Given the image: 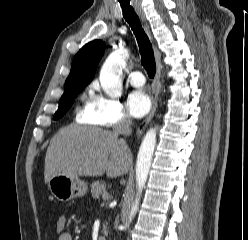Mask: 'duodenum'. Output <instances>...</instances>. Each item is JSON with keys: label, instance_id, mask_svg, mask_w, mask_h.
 <instances>
[{"label": "duodenum", "instance_id": "410a0bca", "mask_svg": "<svg viewBox=\"0 0 248 240\" xmlns=\"http://www.w3.org/2000/svg\"><path fill=\"white\" fill-rule=\"evenodd\" d=\"M98 240H104L103 238H99Z\"/></svg>", "mask_w": 248, "mask_h": 240}]
</instances>
